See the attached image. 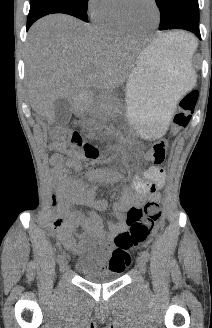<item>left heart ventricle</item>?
<instances>
[{"label": "left heart ventricle", "mask_w": 212, "mask_h": 328, "mask_svg": "<svg viewBox=\"0 0 212 328\" xmlns=\"http://www.w3.org/2000/svg\"><path fill=\"white\" fill-rule=\"evenodd\" d=\"M128 22L136 28H148L156 22V11L150 0H121Z\"/></svg>", "instance_id": "1"}]
</instances>
